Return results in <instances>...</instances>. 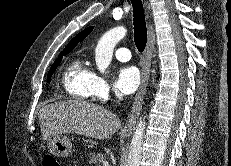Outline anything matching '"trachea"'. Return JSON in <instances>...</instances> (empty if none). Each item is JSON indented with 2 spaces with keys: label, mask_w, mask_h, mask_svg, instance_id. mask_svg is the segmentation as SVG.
Instances as JSON below:
<instances>
[{
  "label": "trachea",
  "mask_w": 231,
  "mask_h": 166,
  "mask_svg": "<svg viewBox=\"0 0 231 166\" xmlns=\"http://www.w3.org/2000/svg\"><path fill=\"white\" fill-rule=\"evenodd\" d=\"M134 11V42L139 52H143L147 43V27L141 0H131Z\"/></svg>",
  "instance_id": "trachea-1"
}]
</instances>
